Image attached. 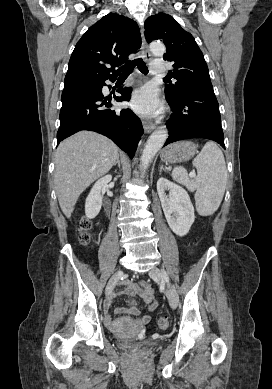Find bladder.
Returning <instances> with one entry per match:
<instances>
[{
	"label": "bladder",
	"instance_id": "31cf9c89",
	"mask_svg": "<svg viewBox=\"0 0 272 389\" xmlns=\"http://www.w3.org/2000/svg\"><path fill=\"white\" fill-rule=\"evenodd\" d=\"M115 335H116V333H115ZM118 344L124 349H131V348L137 346V344H135L133 341L128 340V339L118 340Z\"/></svg>",
	"mask_w": 272,
	"mask_h": 389
}]
</instances>
